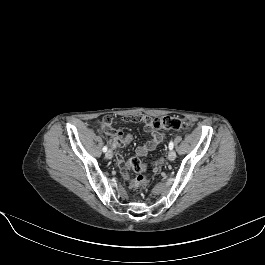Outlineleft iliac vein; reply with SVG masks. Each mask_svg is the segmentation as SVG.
<instances>
[{"instance_id": "4c4485c4", "label": "left iliac vein", "mask_w": 265, "mask_h": 265, "mask_svg": "<svg viewBox=\"0 0 265 265\" xmlns=\"http://www.w3.org/2000/svg\"><path fill=\"white\" fill-rule=\"evenodd\" d=\"M175 158H176V153H175V151L170 150L169 153H168V159H169L170 161H173V160H175Z\"/></svg>"}]
</instances>
